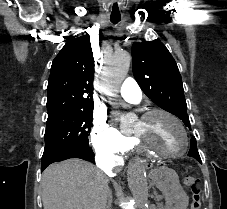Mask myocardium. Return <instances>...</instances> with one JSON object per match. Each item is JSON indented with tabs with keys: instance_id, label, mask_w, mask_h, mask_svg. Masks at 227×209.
I'll return each mask as SVG.
<instances>
[{
	"instance_id": "obj_1",
	"label": "myocardium",
	"mask_w": 227,
	"mask_h": 209,
	"mask_svg": "<svg viewBox=\"0 0 227 209\" xmlns=\"http://www.w3.org/2000/svg\"><path fill=\"white\" fill-rule=\"evenodd\" d=\"M164 114L166 116H168L170 119H172L181 129L182 134H183V138H184V142H183V146L181 149L176 150V151H172V152H162V151H158L156 149H153L152 147H150L145 141H143L138 134L134 133V140L137 142L138 145H140V147L146 151L149 155L153 156V157H157V158H173V157H177L182 155L183 153L186 152V150L188 149L189 146V136H188V132L187 129L184 125V123L181 121V119L175 115L174 113H172L171 111L164 109V108H151L146 110L140 117V120H144L152 115L155 114Z\"/></svg>"
}]
</instances>
